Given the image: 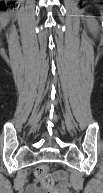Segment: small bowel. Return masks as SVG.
<instances>
[{"label":"small bowel","mask_w":103,"mask_h":193,"mask_svg":"<svg viewBox=\"0 0 103 193\" xmlns=\"http://www.w3.org/2000/svg\"><path fill=\"white\" fill-rule=\"evenodd\" d=\"M70 184L68 177L61 173L57 185L52 189H47L39 185L38 179L25 188V193H69Z\"/></svg>","instance_id":"c3829d8e"}]
</instances>
